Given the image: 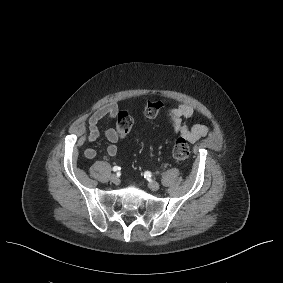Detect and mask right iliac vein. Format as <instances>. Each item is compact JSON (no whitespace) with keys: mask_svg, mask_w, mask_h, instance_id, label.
<instances>
[{"mask_svg":"<svg viewBox=\"0 0 283 283\" xmlns=\"http://www.w3.org/2000/svg\"><path fill=\"white\" fill-rule=\"evenodd\" d=\"M110 181L117 184L119 182V178L117 175L114 174L110 176Z\"/></svg>","mask_w":283,"mask_h":283,"instance_id":"63e3f726","label":"right iliac vein"}]
</instances>
